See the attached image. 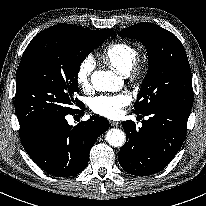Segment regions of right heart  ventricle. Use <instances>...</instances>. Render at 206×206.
<instances>
[{
    "instance_id": "right-heart-ventricle-1",
    "label": "right heart ventricle",
    "mask_w": 206,
    "mask_h": 206,
    "mask_svg": "<svg viewBox=\"0 0 206 206\" xmlns=\"http://www.w3.org/2000/svg\"><path fill=\"white\" fill-rule=\"evenodd\" d=\"M137 55V48L126 41L112 42L102 51L104 61L120 74L131 71Z\"/></svg>"
}]
</instances>
